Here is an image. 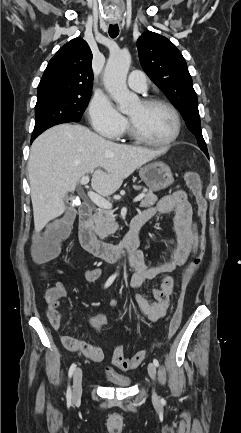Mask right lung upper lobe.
I'll list each match as a JSON object with an SVG mask.
<instances>
[{
  "instance_id": "obj_1",
  "label": "right lung upper lobe",
  "mask_w": 241,
  "mask_h": 433,
  "mask_svg": "<svg viewBox=\"0 0 241 433\" xmlns=\"http://www.w3.org/2000/svg\"><path fill=\"white\" fill-rule=\"evenodd\" d=\"M92 52L86 41L72 39L49 61L38 85L37 99L49 96L91 95Z\"/></svg>"
}]
</instances>
